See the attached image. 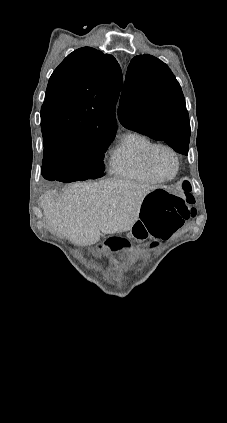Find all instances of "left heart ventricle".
Here are the masks:
<instances>
[{"mask_svg":"<svg viewBox=\"0 0 227 423\" xmlns=\"http://www.w3.org/2000/svg\"><path fill=\"white\" fill-rule=\"evenodd\" d=\"M153 165L156 171L164 178H170L174 175L176 170V163L172 154L165 149H158L155 151L153 158Z\"/></svg>","mask_w":227,"mask_h":423,"instance_id":"obj_1","label":"left heart ventricle"}]
</instances>
